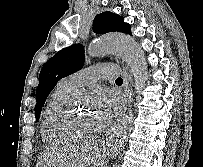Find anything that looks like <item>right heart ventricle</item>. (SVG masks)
<instances>
[{
  "instance_id": "obj_1",
  "label": "right heart ventricle",
  "mask_w": 203,
  "mask_h": 167,
  "mask_svg": "<svg viewBox=\"0 0 203 167\" xmlns=\"http://www.w3.org/2000/svg\"><path fill=\"white\" fill-rule=\"evenodd\" d=\"M77 91V89L60 82L50 94L42 114L40 126L41 138L47 145L58 146L71 142L55 129L54 121Z\"/></svg>"
}]
</instances>
